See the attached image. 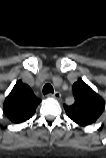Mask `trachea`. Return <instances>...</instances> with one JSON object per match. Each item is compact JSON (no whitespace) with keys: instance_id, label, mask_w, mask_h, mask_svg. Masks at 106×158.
Segmentation results:
<instances>
[{"instance_id":"obj_1","label":"trachea","mask_w":106,"mask_h":158,"mask_svg":"<svg viewBox=\"0 0 106 158\" xmlns=\"http://www.w3.org/2000/svg\"><path fill=\"white\" fill-rule=\"evenodd\" d=\"M54 93V89L50 84H45L43 87V94Z\"/></svg>"}]
</instances>
